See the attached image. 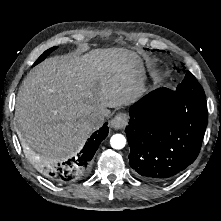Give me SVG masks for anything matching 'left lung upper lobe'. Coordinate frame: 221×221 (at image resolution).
I'll return each instance as SVG.
<instances>
[{
  "label": "left lung upper lobe",
  "mask_w": 221,
  "mask_h": 221,
  "mask_svg": "<svg viewBox=\"0 0 221 221\" xmlns=\"http://www.w3.org/2000/svg\"><path fill=\"white\" fill-rule=\"evenodd\" d=\"M185 69V67H184ZM176 91L182 95L194 98L205 99V93L202 86L198 83L191 72H187L182 83L177 87Z\"/></svg>",
  "instance_id": "1"
}]
</instances>
